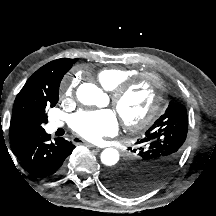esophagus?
Segmentation results:
<instances>
[{
	"label": "esophagus",
	"mask_w": 216,
	"mask_h": 216,
	"mask_svg": "<svg viewBox=\"0 0 216 216\" xmlns=\"http://www.w3.org/2000/svg\"><path fill=\"white\" fill-rule=\"evenodd\" d=\"M73 142L76 144L82 143L83 145L90 147V148H98L97 146H95L94 144L80 138V137H74L73 138Z\"/></svg>",
	"instance_id": "obj_1"
}]
</instances>
